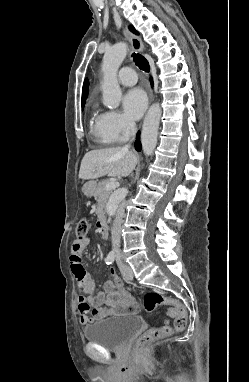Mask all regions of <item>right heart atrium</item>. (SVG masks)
I'll return each mask as SVG.
<instances>
[{
  "mask_svg": "<svg viewBox=\"0 0 249 382\" xmlns=\"http://www.w3.org/2000/svg\"><path fill=\"white\" fill-rule=\"evenodd\" d=\"M102 121L106 133L115 141H124L135 131L134 122L118 111H106Z\"/></svg>",
  "mask_w": 249,
  "mask_h": 382,
  "instance_id": "1",
  "label": "right heart atrium"
}]
</instances>
